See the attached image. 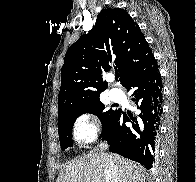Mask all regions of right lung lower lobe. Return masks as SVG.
Listing matches in <instances>:
<instances>
[{"label": "right lung lower lobe", "mask_w": 196, "mask_h": 182, "mask_svg": "<svg viewBox=\"0 0 196 182\" xmlns=\"http://www.w3.org/2000/svg\"><path fill=\"white\" fill-rule=\"evenodd\" d=\"M125 88L133 90L132 100L141 110L139 118L130 119L118 110L100 137L109 143L111 152L139 162L149 170L154 165L163 103V84L154 57L130 78ZM122 115L123 122L120 120ZM125 122L132 125L127 126Z\"/></svg>", "instance_id": "right-lung-lower-lobe-1"}]
</instances>
